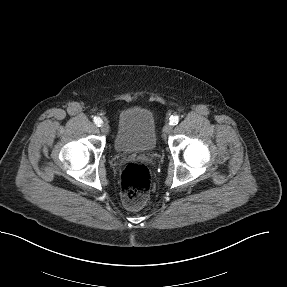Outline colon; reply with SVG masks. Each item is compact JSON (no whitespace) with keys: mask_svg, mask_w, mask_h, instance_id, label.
Returning <instances> with one entry per match:
<instances>
[{"mask_svg":"<svg viewBox=\"0 0 287 287\" xmlns=\"http://www.w3.org/2000/svg\"><path fill=\"white\" fill-rule=\"evenodd\" d=\"M151 187V174L147 166L129 163L121 174V191L124 205L132 210L141 208L147 201Z\"/></svg>","mask_w":287,"mask_h":287,"instance_id":"5ec220e1","label":"colon"}]
</instances>
